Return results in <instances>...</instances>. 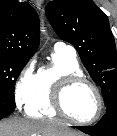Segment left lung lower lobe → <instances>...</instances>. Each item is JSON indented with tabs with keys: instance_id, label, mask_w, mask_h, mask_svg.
<instances>
[{
	"instance_id": "obj_1",
	"label": "left lung lower lobe",
	"mask_w": 117,
	"mask_h": 136,
	"mask_svg": "<svg viewBox=\"0 0 117 136\" xmlns=\"http://www.w3.org/2000/svg\"><path fill=\"white\" fill-rule=\"evenodd\" d=\"M77 129L91 136H117V103L106 110L105 115L95 126Z\"/></svg>"
}]
</instances>
